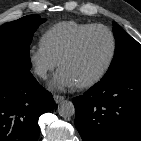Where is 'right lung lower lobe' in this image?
I'll return each mask as SVG.
<instances>
[{"instance_id":"1","label":"right lung lower lobe","mask_w":141,"mask_h":141,"mask_svg":"<svg viewBox=\"0 0 141 141\" xmlns=\"http://www.w3.org/2000/svg\"><path fill=\"white\" fill-rule=\"evenodd\" d=\"M54 107L29 70L0 72V141H37L38 119Z\"/></svg>"}]
</instances>
